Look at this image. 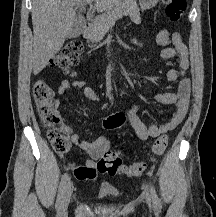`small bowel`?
Returning <instances> with one entry per match:
<instances>
[{"label": "small bowel", "mask_w": 216, "mask_h": 217, "mask_svg": "<svg viewBox=\"0 0 216 217\" xmlns=\"http://www.w3.org/2000/svg\"><path fill=\"white\" fill-rule=\"evenodd\" d=\"M156 41L164 47L160 54L161 58L163 60L176 59L178 63V68L167 71L166 80L172 83L180 78V83L175 93L163 92L155 95L157 102L164 105L175 104L176 106L170 119L163 124L153 123L146 125L137 113L139 107L138 102L134 101L131 104L127 111L129 123L136 136L143 141L170 132L181 124L186 117L191 94V82L186 76V71L190 63L189 52L182 41L181 35L178 32H170L167 28H163L158 32ZM73 87L80 88L84 97L87 99L99 100L97 91L90 86H86L82 80L63 81L57 87V92L60 95H64ZM54 104L56 108L61 106V102L58 99L55 100ZM64 130L71 142L88 155L85 164L74 169L75 177L80 181H94L97 176L98 160L110 148L109 138L101 136L93 142H88L81 140L79 135L71 127L66 126ZM103 186L108 187V184L103 183Z\"/></svg>", "instance_id": "c3829d8e"}]
</instances>
